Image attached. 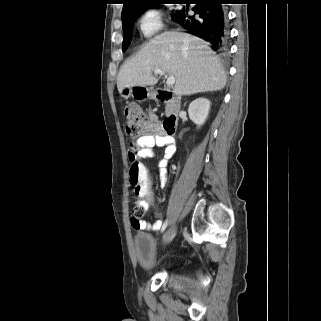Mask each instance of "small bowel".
<instances>
[{"instance_id":"1","label":"small bowel","mask_w":321,"mask_h":321,"mask_svg":"<svg viewBox=\"0 0 321 321\" xmlns=\"http://www.w3.org/2000/svg\"><path fill=\"white\" fill-rule=\"evenodd\" d=\"M158 146L164 148V154L162 159L159 162V181L161 186H165L168 181V171L167 166L171 158L174 156L176 147L175 142L172 136L165 133L163 126L155 121L152 125V132L145 134L138 138L136 142L137 152L136 156L141 157L145 156L147 150L151 147ZM132 155L129 152V158L131 159ZM151 191V190H150ZM136 206L140 208L143 212L147 211L149 206L146 202V198H137ZM133 228L138 230H147V231H157L162 226L161 220H156L153 223H148L142 220H139L138 223L131 221Z\"/></svg>"}]
</instances>
